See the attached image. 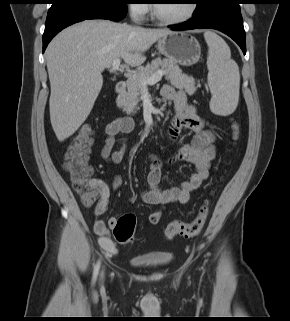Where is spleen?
I'll use <instances>...</instances> for the list:
<instances>
[{
  "instance_id": "1",
  "label": "spleen",
  "mask_w": 290,
  "mask_h": 321,
  "mask_svg": "<svg viewBox=\"0 0 290 321\" xmlns=\"http://www.w3.org/2000/svg\"><path fill=\"white\" fill-rule=\"evenodd\" d=\"M204 38L208 45V84L212 93L210 109L217 115H230L239 101V67L231 59L230 48L220 36L206 31Z\"/></svg>"
}]
</instances>
